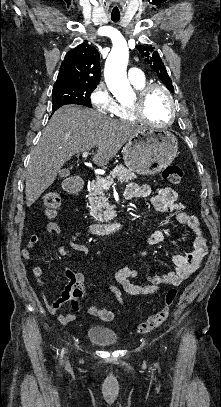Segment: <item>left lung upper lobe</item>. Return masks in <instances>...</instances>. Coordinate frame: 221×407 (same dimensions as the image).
Instances as JSON below:
<instances>
[{
  "instance_id": "1",
  "label": "left lung upper lobe",
  "mask_w": 221,
  "mask_h": 407,
  "mask_svg": "<svg viewBox=\"0 0 221 407\" xmlns=\"http://www.w3.org/2000/svg\"><path fill=\"white\" fill-rule=\"evenodd\" d=\"M138 51L145 58V62L149 67L157 73L158 77L166 84V87L174 92L172 81L166 71L164 63L162 62L158 52L154 47L149 45L138 46Z\"/></svg>"
}]
</instances>
